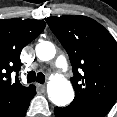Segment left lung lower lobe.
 I'll use <instances>...</instances> for the list:
<instances>
[{"mask_svg":"<svg viewBox=\"0 0 117 117\" xmlns=\"http://www.w3.org/2000/svg\"><path fill=\"white\" fill-rule=\"evenodd\" d=\"M56 117H105L107 112L70 104L68 107H55Z\"/></svg>","mask_w":117,"mask_h":117,"instance_id":"0a47b994","label":"left lung lower lobe"}]
</instances>
